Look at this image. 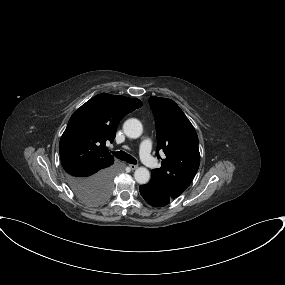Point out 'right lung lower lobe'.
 Listing matches in <instances>:
<instances>
[{
	"mask_svg": "<svg viewBox=\"0 0 285 285\" xmlns=\"http://www.w3.org/2000/svg\"><path fill=\"white\" fill-rule=\"evenodd\" d=\"M113 164L94 167L83 164L67 169L66 177L71 189L76 192L91 187H112L115 168Z\"/></svg>",
	"mask_w": 285,
	"mask_h": 285,
	"instance_id": "right-lung-lower-lobe-1",
	"label": "right lung lower lobe"
}]
</instances>
